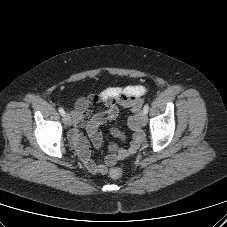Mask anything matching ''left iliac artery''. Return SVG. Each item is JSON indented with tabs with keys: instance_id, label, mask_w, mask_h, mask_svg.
Wrapping results in <instances>:
<instances>
[{
	"instance_id": "1",
	"label": "left iliac artery",
	"mask_w": 227,
	"mask_h": 227,
	"mask_svg": "<svg viewBox=\"0 0 227 227\" xmlns=\"http://www.w3.org/2000/svg\"><path fill=\"white\" fill-rule=\"evenodd\" d=\"M148 110H149V105L148 104H146L145 106H144V108H143V111H144V113H148Z\"/></svg>"
}]
</instances>
